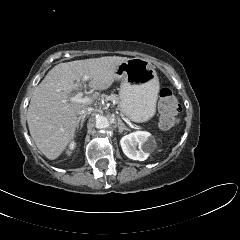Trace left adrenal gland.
I'll return each mask as SVG.
<instances>
[{"mask_svg":"<svg viewBox=\"0 0 240 240\" xmlns=\"http://www.w3.org/2000/svg\"><path fill=\"white\" fill-rule=\"evenodd\" d=\"M118 128L120 133H122L124 130H130L125 126V124L122 122L120 118H118Z\"/></svg>","mask_w":240,"mask_h":240,"instance_id":"a2214340","label":"left adrenal gland"}]
</instances>
